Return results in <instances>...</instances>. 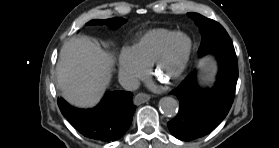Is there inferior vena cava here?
<instances>
[{
  "mask_svg": "<svg viewBox=\"0 0 279 148\" xmlns=\"http://www.w3.org/2000/svg\"><path fill=\"white\" fill-rule=\"evenodd\" d=\"M119 83L121 86L128 91H135L139 88L140 82L133 75H129L126 73L119 74Z\"/></svg>",
  "mask_w": 279,
  "mask_h": 148,
  "instance_id": "602c4592",
  "label": "inferior vena cava"
}]
</instances>
